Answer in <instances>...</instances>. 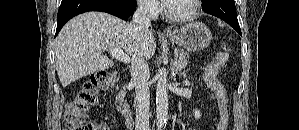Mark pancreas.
I'll use <instances>...</instances> for the list:
<instances>
[{
  "label": "pancreas",
  "mask_w": 299,
  "mask_h": 130,
  "mask_svg": "<svg viewBox=\"0 0 299 130\" xmlns=\"http://www.w3.org/2000/svg\"><path fill=\"white\" fill-rule=\"evenodd\" d=\"M175 60L177 64H180L182 68H185L188 64L189 55L182 49L175 50Z\"/></svg>",
  "instance_id": "pancreas-1"
}]
</instances>
